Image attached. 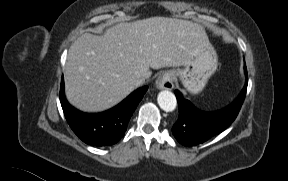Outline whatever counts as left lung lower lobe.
I'll use <instances>...</instances> for the list:
<instances>
[{
	"label": "left lung lower lobe",
	"instance_id": "obj_1",
	"mask_svg": "<svg viewBox=\"0 0 288 181\" xmlns=\"http://www.w3.org/2000/svg\"><path fill=\"white\" fill-rule=\"evenodd\" d=\"M245 74L247 75L246 66ZM247 84L246 80L243 90L232 104L216 112H204L197 109L176 90L179 118L173 125L172 133L178 142L188 147L195 146L228 128L240 111L246 95Z\"/></svg>",
	"mask_w": 288,
	"mask_h": 181
}]
</instances>
